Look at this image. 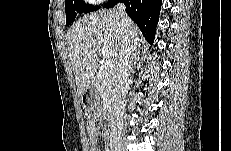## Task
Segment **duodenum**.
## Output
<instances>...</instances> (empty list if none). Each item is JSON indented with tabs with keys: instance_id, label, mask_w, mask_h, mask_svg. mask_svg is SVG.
Returning a JSON list of instances; mask_svg holds the SVG:
<instances>
[{
	"instance_id": "1",
	"label": "duodenum",
	"mask_w": 231,
	"mask_h": 151,
	"mask_svg": "<svg viewBox=\"0 0 231 151\" xmlns=\"http://www.w3.org/2000/svg\"><path fill=\"white\" fill-rule=\"evenodd\" d=\"M106 117H107L109 128H111L114 122V113L112 111H108ZM107 139L109 140V135H107Z\"/></svg>"
}]
</instances>
